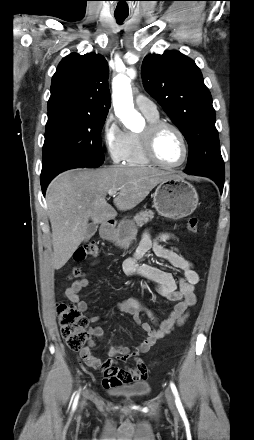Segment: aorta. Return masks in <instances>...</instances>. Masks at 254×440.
<instances>
[{
    "instance_id": "obj_1",
    "label": "aorta",
    "mask_w": 254,
    "mask_h": 440,
    "mask_svg": "<svg viewBox=\"0 0 254 440\" xmlns=\"http://www.w3.org/2000/svg\"><path fill=\"white\" fill-rule=\"evenodd\" d=\"M131 80L126 74H118L112 81V99L115 115L130 130L142 127L143 118L134 109Z\"/></svg>"
}]
</instances>
